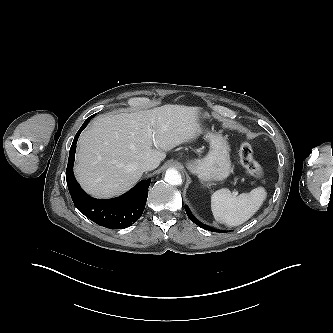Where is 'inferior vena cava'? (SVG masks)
<instances>
[{
    "label": "inferior vena cava",
    "mask_w": 333,
    "mask_h": 333,
    "mask_svg": "<svg viewBox=\"0 0 333 333\" xmlns=\"http://www.w3.org/2000/svg\"><path fill=\"white\" fill-rule=\"evenodd\" d=\"M159 166V162L155 159H146L141 163V168L144 171L153 170Z\"/></svg>",
    "instance_id": "1"
}]
</instances>
